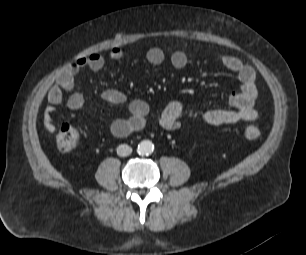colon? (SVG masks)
Segmentation results:
<instances>
[{
  "label": "colon",
  "mask_w": 306,
  "mask_h": 255,
  "mask_svg": "<svg viewBox=\"0 0 306 255\" xmlns=\"http://www.w3.org/2000/svg\"><path fill=\"white\" fill-rule=\"evenodd\" d=\"M245 136L248 139H257L260 136V130L258 127L250 125L245 129ZM78 141L79 132L76 128L68 124L61 126L56 136V144L61 152H70L76 147Z\"/></svg>",
  "instance_id": "5ec220e1"
}]
</instances>
